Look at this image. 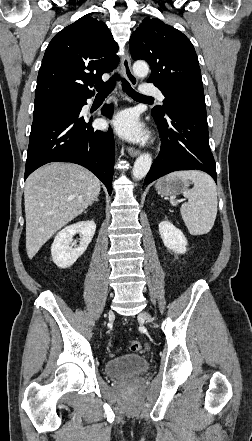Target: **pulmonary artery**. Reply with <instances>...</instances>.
<instances>
[{"mask_svg": "<svg viewBox=\"0 0 252 441\" xmlns=\"http://www.w3.org/2000/svg\"><path fill=\"white\" fill-rule=\"evenodd\" d=\"M140 93L144 96H156L160 101L164 100V96L161 91L156 87L150 86L149 84L142 85L140 87ZM88 106H90V103Z\"/></svg>", "mask_w": 252, "mask_h": 441, "instance_id": "1", "label": "pulmonary artery"}]
</instances>
